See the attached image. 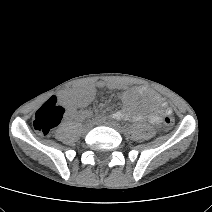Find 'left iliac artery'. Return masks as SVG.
Wrapping results in <instances>:
<instances>
[{"mask_svg": "<svg viewBox=\"0 0 212 212\" xmlns=\"http://www.w3.org/2000/svg\"><path fill=\"white\" fill-rule=\"evenodd\" d=\"M123 129H124V130H128V127L124 126Z\"/></svg>", "mask_w": 212, "mask_h": 212, "instance_id": "44dca946", "label": "left iliac artery"}]
</instances>
